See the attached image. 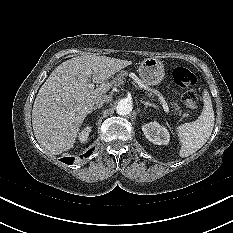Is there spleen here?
<instances>
[{"label":"spleen","mask_w":233,"mask_h":233,"mask_svg":"<svg viewBox=\"0 0 233 233\" xmlns=\"http://www.w3.org/2000/svg\"><path fill=\"white\" fill-rule=\"evenodd\" d=\"M214 110L207 90L203 93V109L201 115L190 123L176 127L181 142L180 157H188L198 151L211 136L214 127Z\"/></svg>","instance_id":"spleen-1"}]
</instances>
